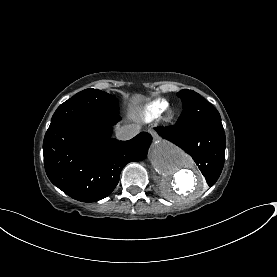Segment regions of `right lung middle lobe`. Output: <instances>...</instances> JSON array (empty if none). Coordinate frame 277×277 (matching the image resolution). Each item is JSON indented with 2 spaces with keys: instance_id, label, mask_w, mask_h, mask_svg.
Here are the masks:
<instances>
[{
  "instance_id": "1",
  "label": "right lung middle lobe",
  "mask_w": 277,
  "mask_h": 277,
  "mask_svg": "<svg viewBox=\"0 0 277 277\" xmlns=\"http://www.w3.org/2000/svg\"><path fill=\"white\" fill-rule=\"evenodd\" d=\"M117 99L97 89H85L61 104L55 111L49 128L77 117L118 114Z\"/></svg>"
}]
</instances>
